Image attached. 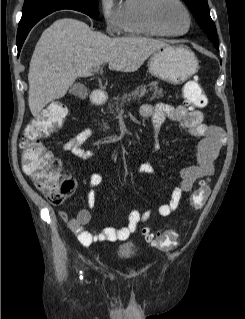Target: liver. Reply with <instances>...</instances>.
<instances>
[{
    "label": "liver",
    "mask_w": 245,
    "mask_h": 319,
    "mask_svg": "<svg viewBox=\"0 0 245 319\" xmlns=\"http://www.w3.org/2000/svg\"><path fill=\"white\" fill-rule=\"evenodd\" d=\"M165 42L147 37L110 38L83 21L56 20L41 35L29 67L28 103L33 116L62 98L78 77L108 63L113 71L135 72Z\"/></svg>",
    "instance_id": "6515ba94"
}]
</instances>
